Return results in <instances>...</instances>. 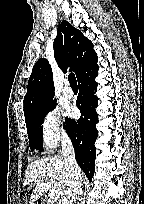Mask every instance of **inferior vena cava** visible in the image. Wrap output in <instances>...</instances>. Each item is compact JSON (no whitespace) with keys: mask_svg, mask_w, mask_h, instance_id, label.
I'll return each instance as SVG.
<instances>
[{"mask_svg":"<svg viewBox=\"0 0 144 204\" xmlns=\"http://www.w3.org/2000/svg\"><path fill=\"white\" fill-rule=\"evenodd\" d=\"M62 153L68 177V189L60 204H76L82 191V174L75 159L74 147L68 136L62 139Z\"/></svg>","mask_w":144,"mask_h":204,"instance_id":"obj_1","label":"inferior vena cava"}]
</instances>
